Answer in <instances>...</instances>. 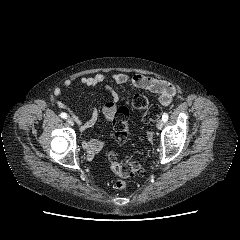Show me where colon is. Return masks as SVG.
<instances>
[{"mask_svg": "<svg viewBox=\"0 0 240 240\" xmlns=\"http://www.w3.org/2000/svg\"><path fill=\"white\" fill-rule=\"evenodd\" d=\"M131 105L136 109L144 111L143 118L146 122L155 121L161 113V109L157 105H149L147 98L140 93L133 95ZM129 116V109L127 107L117 108L113 125L115 129V141L118 144L125 143L128 137ZM107 158L113 172L120 177L115 183L118 189H125L127 187L126 179L134 176H143L145 173L143 167L138 162L119 163L114 152H109Z\"/></svg>", "mask_w": 240, "mask_h": 240, "instance_id": "1", "label": "colon"}]
</instances>
